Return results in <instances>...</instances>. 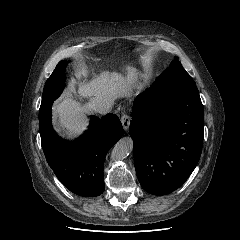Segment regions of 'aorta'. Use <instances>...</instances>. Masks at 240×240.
<instances>
[{
  "label": "aorta",
  "mask_w": 240,
  "mask_h": 240,
  "mask_svg": "<svg viewBox=\"0 0 240 240\" xmlns=\"http://www.w3.org/2000/svg\"><path fill=\"white\" fill-rule=\"evenodd\" d=\"M133 149V141L130 137L120 139L112 150V158L117 160L125 159Z\"/></svg>",
  "instance_id": "aorta-1"
}]
</instances>
